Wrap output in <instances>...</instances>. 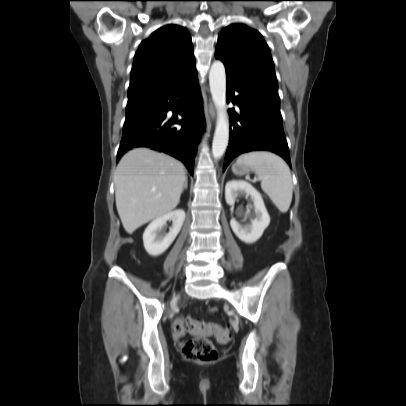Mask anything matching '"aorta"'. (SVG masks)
Masks as SVG:
<instances>
[{"label": "aorta", "mask_w": 406, "mask_h": 406, "mask_svg": "<svg viewBox=\"0 0 406 406\" xmlns=\"http://www.w3.org/2000/svg\"><path fill=\"white\" fill-rule=\"evenodd\" d=\"M209 85L213 102L217 109V124L212 143L214 159H220L229 141V120L226 111V72L224 64L217 60L211 65Z\"/></svg>", "instance_id": "1"}]
</instances>
